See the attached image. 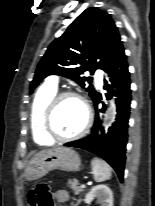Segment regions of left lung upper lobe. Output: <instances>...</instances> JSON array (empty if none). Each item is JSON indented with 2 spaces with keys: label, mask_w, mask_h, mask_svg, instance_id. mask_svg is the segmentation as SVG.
<instances>
[{
  "label": "left lung upper lobe",
  "mask_w": 155,
  "mask_h": 206,
  "mask_svg": "<svg viewBox=\"0 0 155 206\" xmlns=\"http://www.w3.org/2000/svg\"><path fill=\"white\" fill-rule=\"evenodd\" d=\"M123 49L118 29L111 16L96 7L82 12L67 28L66 32L55 39L39 62L30 92L49 75H60L75 80L82 87L88 77L86 71L105 69ZM90 97L96 94L90 85Z\"/></svg>",
  "instance_id": "5c2ea615"
}]
</instances>
